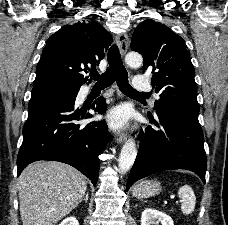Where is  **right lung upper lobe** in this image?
Returning a JSON list of instances; mask_svg holds the SVG:
<instances>
[{"instance_id": "obj_1", "label": "right lung upper lobe", "mask_w": 228, "mask_h": 225, "mask_svg": "<svg viewBox=\"0 0 228 225\" xmlns=\"http://www.w3.org/2000/svg\"><path fill=\"white\" fill-rule=\"evenodd\" d=\"M111 41L110 33L96 21L63 26L43 49L33 88L61 85L79 89L88 80L79 72L99 64Z\"/></svg>"}]
</instances>
